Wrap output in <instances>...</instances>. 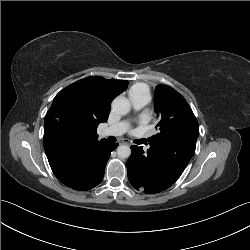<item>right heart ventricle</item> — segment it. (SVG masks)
<instances>
[{"instance_id": "obj_1", "label": "right heart ventricle", "mask_w": 250, "mask_h": 250, "mask_svg": "<svg viewBox=\"0 0 250 250\" xmlns=\"http://www.w3.org/2000/svg\"><path fill=\"white\" fill-rule=\"evenodd\" d=\"M129 97L131 98H145L147 101L150 99V88L146 83H135L129 89Z\"/></svg>"}]
</instances>
